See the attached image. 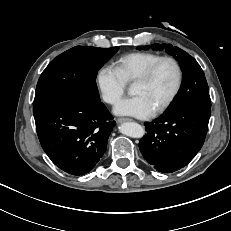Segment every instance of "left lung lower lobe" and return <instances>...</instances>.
I'll use <instances>...</instances> for the list:
<instances>
[{"label": "left lung lower lobe", "mask_w": 231, "mask_h": 231, "mask_svg": "<svg viewBox=\"0 0 231 231\" xmlns=\"http://www.w3.org/2000/svg\"><path fill=\"white\" fill-rule=\"evenodd\" d=\"M210 115V108L182 106L146 122L147 134L139 142L144 159L163 173L186 166L204 143Z\"/></svg>", "instance_id": "left-lung-lower-lobe-1"}]
</instances>
